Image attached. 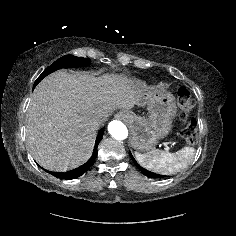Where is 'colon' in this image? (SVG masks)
<instances>
[{"instance_id":"colon-1","label":"colon","mask_w":236,"mask_h":236,"mask_svg":"<svg viewBox=\"0 0 236 236\" xmlns=\"http://www.w3.org/2000/svg\"><path fill=\"white\" fill-rule=\"evenodd\" d=\"M177 99L181 108V136L188 144L195 145L199 138L193 111L194 102L190 91L186 88H180L177 92Z\"/></svg>"}]
</instances>
